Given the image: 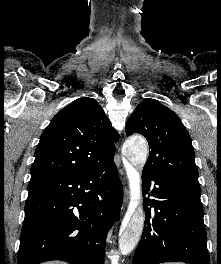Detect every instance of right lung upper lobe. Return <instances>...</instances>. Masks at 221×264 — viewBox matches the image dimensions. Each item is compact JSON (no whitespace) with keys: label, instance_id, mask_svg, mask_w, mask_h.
<instances>
[{"label":"right lung upper lobe","instance_id":"right-lung-upper-lobe-1","mask_svg":"<svg viewBox=\"0 0 221 264\" xmlns=\"http://www.w3.org/2000/svg\"><path fill=\"white\" fill-rule=\"evenodd\" d=\"M119 135L93 98L81 97L60 110L40 137L30 183L85 172L114 157Z\"/></svg>","mask_w":221,"mask_h":264}]
</instances>
